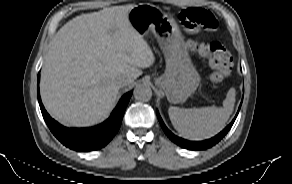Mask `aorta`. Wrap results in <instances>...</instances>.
<instances>
[{
	"label": "aorta",
	"mask_w": 292,
	"mask_h": 184,
	"mask_svg": "<svg viewBox=\"0 0 292 184\" xmlns=\"http://www.w3.org/2000/svg\"><path fill=\"white\" fill-rule=\"evenodd\" d=\"M133 95L138 101L148 102L152 97V89L146 84H138L134 88Z\"/></svg>",
	"instance_id": "1"
}]
</instances>
